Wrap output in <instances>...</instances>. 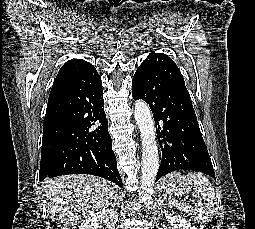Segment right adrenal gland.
Returning <instances> with one entry per match:
<instances>
[{"label":"right adrenal gland","mask_w":255,"mask_h":229,"mask_svg":"<svg viewBox=\"0 0 255 229\" xmlns=\"http://www.w3.org/2000/svg\"><path fill=\"white\" fill-rule=\"evenodd\" d=\"M119 206H120V202H119V200H118V197H115L114 198V203L113 204H111V208H115V207H117V208H119Z\"/></svg>","instance_id":"1"}]
</instances>
